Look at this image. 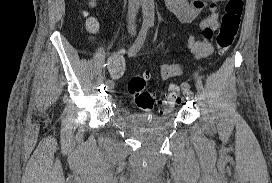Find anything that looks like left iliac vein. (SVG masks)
Listing matches in <instances>:
<instances>
[{
    "label": "left iliac vein",
    "mask_w": 272,
    "mask_h": 183,
    "mask_svg": "<svg viewBox=\"0 0 272 183\" xmlns=\"http://www.w3.org/2000/svg\"><path fill=\"white\" fill-rule=\"evenodd\" d=\"M183 94L187 97H191L192 96V92L191 91H183Z\"/></svg>",
    "instance_id": "left-iliac-vein-1"
}]
</instances>
